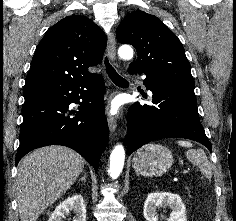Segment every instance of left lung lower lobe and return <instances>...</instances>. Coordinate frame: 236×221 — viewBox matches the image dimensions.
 <instances>
[{
    "mask_svg": "<svg viewBox=\"0 0 236 221\" xmlns=\"http://www.w3.org/2000/svg\"><path fill=\"white\" fill-rule=\"evenodd\" d=\"M129 73H144L129 68ZM144 85L153 93L155 106L133 104L127 114L128 155L144 144L160 138H186L211 151L200 123L194 88L146 75Z\"/></svg>",
    "mask_w": 236,
    "mask_h": 221,
    "instance_id": "left-lung-lower-lobe-1",
    "label": "left lung lower lobe"
}]
</instances>
